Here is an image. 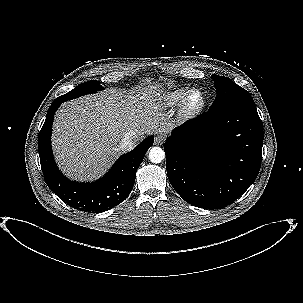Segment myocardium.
I'll return each mask as SVG.
<instances>
[{
    "instance_id": "obj_1",
    "label": "myocardium",
    "mask_w": 303,
    "mask_h": 303,
    "mask_svg": "<svg viewBox=\"0 0 303 303\" xmlns=\"http://www.w3.org/2000/svg\"><path fill=\"white\" fill-rule=\"evenodd\" d=\"M197 96L198 100L193 101ZM206 99L204 93L200 89L190 90L182 101L180 114L186 119H190L198 115L205 107Z\"/></svg>"
}]
</instances>
